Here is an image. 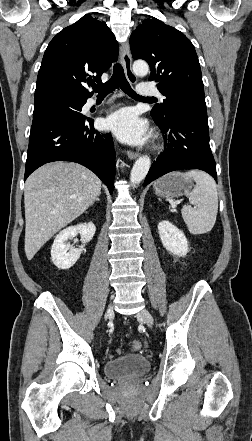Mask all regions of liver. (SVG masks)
<instances>
[{
	"mask_svg": "<svg viewBox=\"0 0 252 441\" xmlns=\"http://www.w3.org/2000/svg\"><path fill=\"white\" fill-rule=\"evenodd\" d=\"M100 192V179L77 163L57 161L34 171L24 190L27 259L31 260L54 234L82 215Z\"/></svg>",
	"mask_w": 252,
	"mask_h": 441,
	"instance_id": "6515ba94",
	"label": "liver"
}]
</instances>
